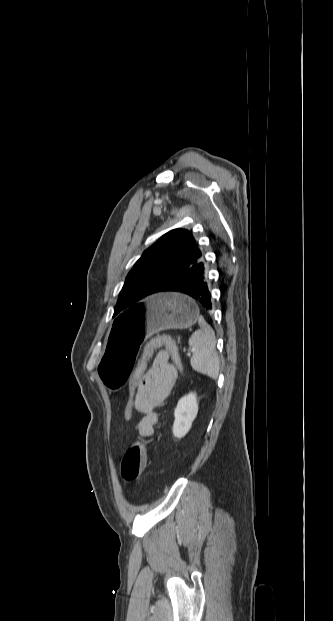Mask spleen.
<instances>
[{
    "mask_svg": "<svg viewBox=\"0 0 333 621\" xmlns=\"http://www.w3.org/2000/svg\"><path fill=\"white\" fill-rule=\"evenodd\" d=\"M198 323L200 329L195 331L188 341L190 348L193 350L190 364L196 372L217 379L220 363L216 351L215 332L203 316L200 317Z\"/></svg>",
    "mask_w": 333,
    "mask_h": 621,
    "instance_id": "3e777b00",
    "label": "spleen"
}]
</instances>
